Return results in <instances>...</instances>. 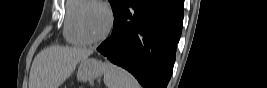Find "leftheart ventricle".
<instances>
[{
  "mask_svg": "<svg viewBox=\"0 0 267 88\" xmlns=\"http://www.w3.org/2000/svg\"><path fill=\"white\" fill-rule=\"evenodd\" d=\"M83 26L90 37L100 36L107 26L105 11L98 6H88L83 14Z\"/></svg>",
  "mask_w": 267,
  "mask_h": 88,
  "instance_id": "b2bd125f",
  "label": "left heart ventricle"
}]
</instances>
